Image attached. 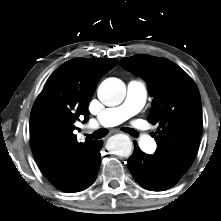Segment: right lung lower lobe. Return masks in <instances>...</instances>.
Masks as SVG:
<instances>
[{
    "instance_id": "obj_1",
    "label": "right lung lower lobe",
    "mask_w": 221,
    "mask_h": 221,
    "mask_svg": "<svg viewBox=\"0 0 221 221\" xmlns=\"http://www.w3.org/2000/svg\"><path fill=\"white\" fill-rule=\"evenodd\" d=\"M102 144V140L95 141L70 181H68L63 187L56 188L63 192L72 193L89 187L95 181L100 167V149Z\"/></svg>"
}]
</instances>
